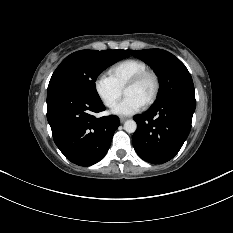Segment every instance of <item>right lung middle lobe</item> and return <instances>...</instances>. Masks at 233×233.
Segmentation results:
<instances>
[{
	"label": "right lung middle lobe",
	"instance_id": "dd1d6c3e",
	"mask_svg": "<svg viewBox=\"0 0 233 233\" xmlns=\"http://www.w3.org/2000/svg\"><path fill=\"white\" fill-rule=\"evenodd\" d=\"M128 50H82L67 56L54 71L47 94L72 92L92 100H101L95 88L98 75L115 62L128 57Z\"/></svg>",
	"mask_w": 233,
	"mask_h": 233
}]
</instances>
